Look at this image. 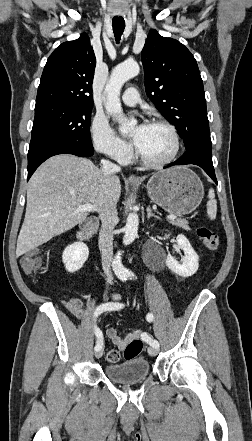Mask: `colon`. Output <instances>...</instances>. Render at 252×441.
Listing matches in <instances>:
<instances>
[{"label": "colon", "instance_id": "colon-1", "mask_svg": "<svg viewBox=\"0 0 252 441\" xmlns=\"http://www.w3.org/2000/svg\"><path fill=\"white\" fill-rule=\"evenodd\" d=\"M198 238L202 241L204 246L210 251H216L219 248V238L214 230L206 226H200L196 230ZM41 259L38 251L31 250L28 254L22 257L21 266L28 274H34L39 271ZM143 344L139 339L131 341L123 351L125 359L136 357L142 351ZM122 354L117 349H112L107 353V360L110 363H118L121 360Z\"/></svg>", "mask_w": 252, "mask_h": 441}]
</instances>
